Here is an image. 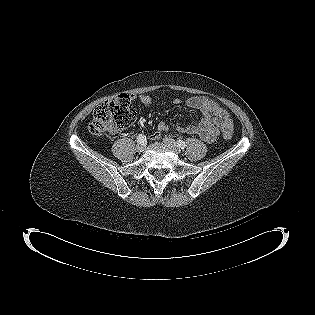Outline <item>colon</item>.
<instances>
[{
    "label": "colon",
    "instance_id": "5ec220e1",
    "mask_svg": "<svg viewBox=\"0 0 315 315\" xmlns=\"http://www.w3.org/2000/svg\"><path fill=\"white\" fill-rule=\"evenodd\" d=\"M130 103V97L125 94L116 95L104 101L93 112L89 125L90 133L100 135L106 131L121 130L130 126L136 118ZM231 135L229 130H224L225 139H230Z\"/></svg>",
    "mask_w": 315,
    "mask_h": 315
}]
</instances>
